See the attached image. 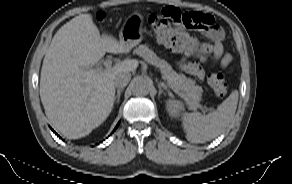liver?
<instances>
[{
  "label": "liver",
  "mask_w": 292,
  "mask_h": 184,
  "mask_svg": "<svg viewBox=\"0 0 292 184\" xmlns=\"http://www.w3.org/2000/svg\"><path fill=\"white\" fill-rule=\"evenodd\" d=\"M131 48L100 32L91 14L76 16L54 35L45 54L40 98L51 124L69 139L89 135L111 113L114 79L132 72L137 60H124L110 69L90 70L106 52L128 53Z\"/></svg>",
  "instance_id": "obj_1"
}]
</instances>
